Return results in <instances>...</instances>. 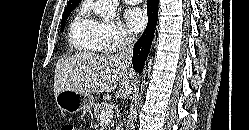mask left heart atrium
<instances>
[{"label": "left heart atrium", "instance_id": "39dd6f15", "mask_svg": "<svg viewBox=\"0 0 249 130\" xmlns=\"http://www.w3.org/2000/svg\"><path fill=\"white\" fill-rule=\"evenodd\" d=\"M124 17L130 30L136 33L142 31L147 24L146 12L138 7L127 9Z\"/></svg>", "mask_w": 249, "mask_h": 130}]
</instances>
